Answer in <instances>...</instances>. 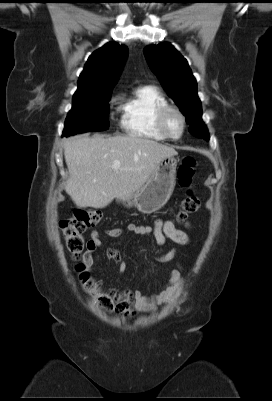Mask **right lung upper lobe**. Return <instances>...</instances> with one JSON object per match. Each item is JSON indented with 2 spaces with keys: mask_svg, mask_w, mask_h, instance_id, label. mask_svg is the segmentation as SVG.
Returning a JSON list of instances; mask_svg holds the SVG:
<instances>
[{
  "mask_svg": "<svg viewBox=\"0 0 272 401\" xmlns=\"http://www.w3.org/2000/svg\"><path fill=\"white\" fill-rule=\"evenodd\" d=\"M128 48L109 42L88 58L78 80L73 98L105 90H112L122 71Z\"/></svg>",
  "mask_w": 272,
  "mask_h": 401,
  "instance_id": "right-lung-upper-lobe-1",
  "label": "right lung upper lobe"
}]
</instances>
